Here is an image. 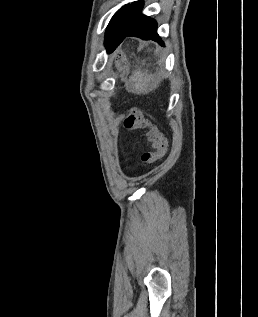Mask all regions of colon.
<instances>
[{"label": "colon", "instance_id": "1", "mask_svg": "<svg viewBox=\"0 0 258 317\" xmlns=\"http://www.w3.org/2000/svg\"><path fill=\"white\" fill-rule=\"evenodd\" d=\"M124 127L128 130H140L150 142L152 149L142 155L146 164L160 160L167 151V140L157 127L138 110H130L124 118Z\"/></svg>", "mask_w": 258, "mask_h": 317}]
</instances>
